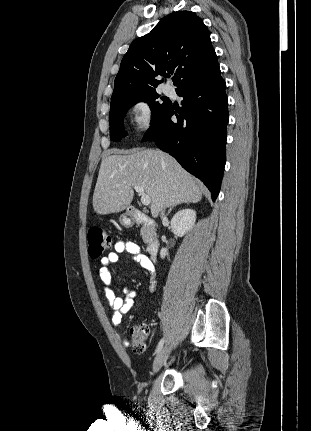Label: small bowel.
<instances>
[{
  "instance_id": "obj_1",
  "label": "small bowel",
  "mask_w": 311,
  "mask_h": 431,
  "mask_svg": "<svg viewBox=\"0 0 311 431\" xmlns=\"http://www.w3.org/2000/svg\"><path fill=\"white\" fill-rule=\"evenodd\" d=\"M121 253H127L132 261L139 264L147 277L152 279L154 275V265L152 261L141 252L140 247L136 243L131 241H118L114 246V251L101 258L99 277L106 299L113 309L112 324L117 328H121L123 315L129 313L138 295L135 290L131 289L123 290L124 297H119L114 292L109 265L117 262ZM123 345L128 346L129 341L124 339Z\"/></svg>"
}]
</instances>
